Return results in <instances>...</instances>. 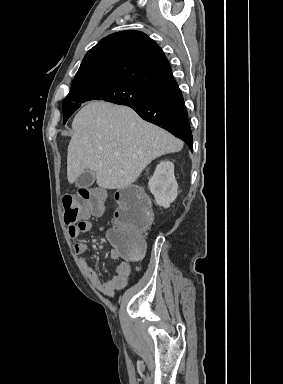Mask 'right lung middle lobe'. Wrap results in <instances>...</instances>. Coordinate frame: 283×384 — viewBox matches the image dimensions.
I'll list each match as a JSON object with an SVG mask.
<instances>
[{"label":"right lung middle lobe","mask_w":283,"mask_h":384,"mask_svg":"<svg viewBox=\"0 0 283 384\" xmlns=\"http://www.w3.org/2000/svg\"><path fill=\"white\" fill-rule=\"evenodd\" d=\"M150 91L127 83L109 82L94 84L82 88L71 89L63 101V115L65 124L69 117L90 100H104L116 104H127L144 100Z\"/></svg>","instance_id":"dd1d6c3e"}]
</instances>
